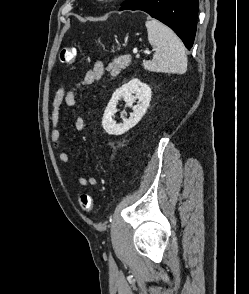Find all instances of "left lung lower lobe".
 Segmentation results:
<instances>
[{"mask_svg": "<svg viewBox=\"0 0 249 294\" xmlns=\"http://www.w3.org/2000/svg\"><path fill=\"white\" fill-rule=\"evenodd\" d=\"M198 7V0H127L119 10L145 11L169 26L190 49L196 33Z\"/></svg>", "mask_w": 249, "mask_h": 294, "instance_id": "1", "label": "left lung lower lobe"}]
</instances>
